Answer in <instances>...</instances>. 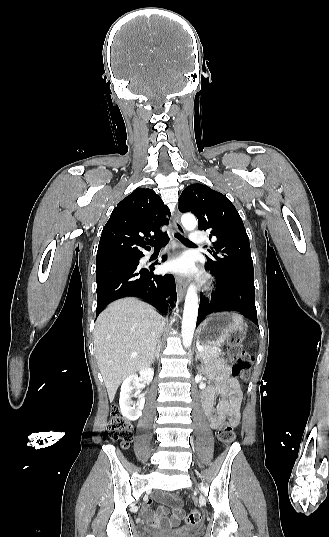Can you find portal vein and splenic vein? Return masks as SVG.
<instances>
[{"mask_svg":"<svg viewBox=\"0 0 329 537\" xmlns=\"http://www.w3.org/2000/svg\"><path fill=\"white\" fill-rule=\"evenodd\" d=\"M197 349H198L199 351H203V347H202V346H198ZM132 355L135 357V356H137V353H133Z\"/></svg>","mask_w":329,"mask_h":537,"instance_id":"1","label":"portal vein and splenic vein"}]
</instances>
